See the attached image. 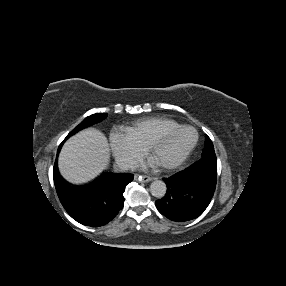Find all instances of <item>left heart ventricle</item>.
I'll use <instances>...</instances> for the list:
<instances>
[{
  "mask_svg": "<svg viewBox=\"0 0 286 286\" xmlns=\"http://www.w3.org/2000/svg\"><path fill=\"white\" fill-rule=\"evenodd\" d=\"M195 139L196 134L194 130L184 129L156 149L152 156L159 164L174 161L182 157L192 147Z\"/></svg>",
  "mask_w": 286,
  "mask_h": 286,
  "instance_id": "left-heart-ventricle-1",
  "label": "left heart ventricle"
}]
</instances>
